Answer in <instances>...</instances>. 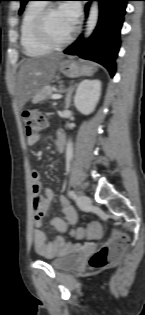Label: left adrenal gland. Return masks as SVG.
Returning <instances> with one entry per match:
<instances>
[{
    "label": "left adrenal gland",
    "mask_w": 145,
    "mask_h": 315,
    "mask_svg": "<svg viewBox=\"0 0 145 315\" xmlns=\"http://www.w3.org/2000/svg\"><path fill=\"white\" fill-rule=\"evenodd\" d=\"M76 85V84H75ZM75 85H71L67 91L66 94V98H65V108L68 109L70 107L71 104V97H72V93L74 91V87Z\"/></svg>",
    "instance_id": "obj_1"
}]
</instances>
